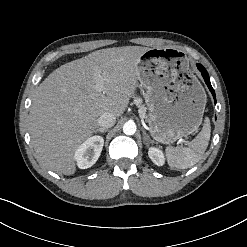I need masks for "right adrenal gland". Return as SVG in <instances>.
Instances as JSON below:
<instances>
[{
    "label": "right adrenal gland",
    "instance_id": "obj_1",
    "mask_svg": "<svg viewBox=\"0 0 247 247\" xmlns=\"http://www.w3.org/2000/svg\"><path fill=\"white\" fill-rule=\"evenodd\" d=\"M107 131V129H104V128H98V129H95V133H97V132H101L102 134L104 133V132H106Z\"/></svg>",
    "mask_w": 247,
    "mask_h": 247
}]
</instances>
